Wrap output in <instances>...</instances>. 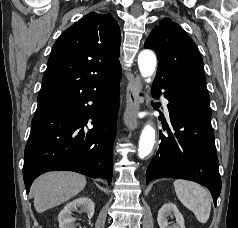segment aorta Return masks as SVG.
<instances>
[{
  "label": "aorta",
  "instance_id": "obj_1",
  "mask_svg": "<svg viewBox=\"0 0 238 228\" xmlns=\"http://www.w3.org/2000/svg\"><path fill=\"white\" fill-rule=\"evenodd\" d=\"M157 65V58L153 51L143 50L138 55V66L143 78L149 83ZM155 144V129L150 123L146 124L141 132L138 147V156L143 159L148 156Z\"/></svg>",
  "mask_w": 238,
  "mask_h": 228
}]
</instances>
